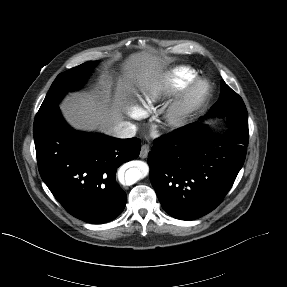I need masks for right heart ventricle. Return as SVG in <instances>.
Wrapping results in <instances>:
<instances>
[{
	"label": "right heart ventricle",
	"mask_w": 287,
	"mask_h": 287,
	"mask_svg": "<svg viewBox=\"0 0 287 287\" xmlns=\"http://www.w3.org/2000/svg\"><path fill=\"white\" fill-rule=\"evenodd\" d=\"M196 77V72L188 67H176L166 73L159 81L141 90L139 103L143 110H151L156 104L180 91Z\"/></svg>",
	"instance_id": "e07e8e85"
}]
</instances>
